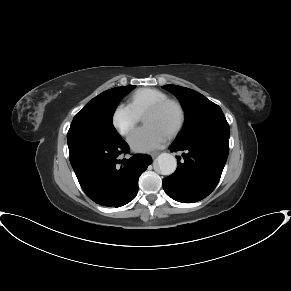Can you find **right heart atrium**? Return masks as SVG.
<instances>
[{
	"label": "right heart atrium",
	"instance_id": "obj_1",
	"mask_svg": "<svg viewBox=\"0 0 291 291\" xmlns=\"http://www.w3.org/2000/svg\"><path fill=\"white\" fill-rule=\"evenodd\" d=\"M140 119L141 116L130 104H118L112 115L113 126L123 136L129 135Z\"/></svg>",
	"mask_w": 291,
	"mask_h": 291
}]
</instances>
